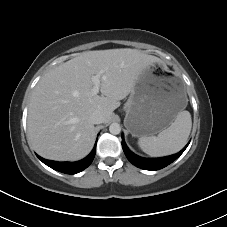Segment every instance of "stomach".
<instances>
[{
    "instance_id": "0dacf381",
    "label": "stomach",
    "mask_w": 227,
    "mask_h": 227,
    "mask_svg": "<svg viewBox=\"0 0 227 227\" xmlns=\"http://www.w3.org/2000/svg\"><path fill=\"white\" fill-rule=\"evenodd\" d=\"M186 105L179 78L167 75L162 64L154 63L136 80L124 106V124L133 136L155 135L169 127Z\"/></svg>"
}]
</instances>
